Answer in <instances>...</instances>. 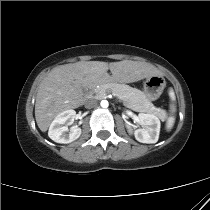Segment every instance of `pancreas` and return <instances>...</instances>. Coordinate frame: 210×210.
<instances>
[{
  "mask_svg": "<svg viewBox=\"0 0 210 210\" xmlns=\"http://www.w3.org/2000/svg\"><path fill=\"white\" fill-rule=\"evenodd\" d=\"M109 92L123 100L127 107L136 112L157 113V108L154 107L144 92L129 85L110 82L94 89V94L97 98H104Z\"/></svg>",
  "mask_w": 210,
  "mask_h": 210,
  "instance_id": "obj_1",
  "label": "pancreas"
}]
</instances>
